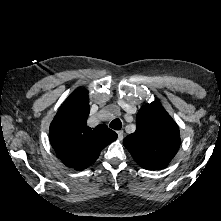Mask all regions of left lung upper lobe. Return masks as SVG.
Returning <instances> with one entry per match:
<instances>
[{
	"mask_svg": "<svg viewBox=\"0 0 221 221\" xmlns=\"http://www.w3.org/2000/svg\"><path fill=\"white\" fill-rule=\"evenodd\" d=\"M134 160L147 170L168 164L180 146L177 124L160 102L146 104L136 116V131L123 140Z\"/></svg>",
	"mask_w": 221,
	"mask_h": 221,
	"instance_id": "obj_1",
	"label": "left lung upper lobe"
}]
</instances>
